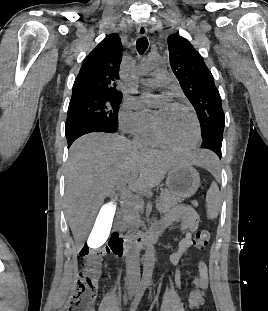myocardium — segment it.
Returning a JSON list of instances; mask_svg holds the SVG:
<instances>
[{"label":"myocardium","mask_w":268,"mask_h":311,"mask_svg":"<svg viewBox=\"0 0 268 311\" xmlns=\"http://www.w3.org/2000/svg\"><path fill=\"white\" fill-rule=\"evenodd\" d=\"M173 105L187 111L190 114V116L192 117L194 125H195V138L192 141V143L189 144L188 146H185V147L177 146L175 144L170 143L161 134L156 116H154V125H153L154 133H155L157 139L159 140V142L163 146L168 147V148L173 149V150L178 151V152H190L196 148V146L198 145V143L201 139V127H200L199 119H198L195 111L191 107H189L188 105L183 104V103H179V102H176Z\"/></svg>","instance_id":"obj_1"}]
</instances>
